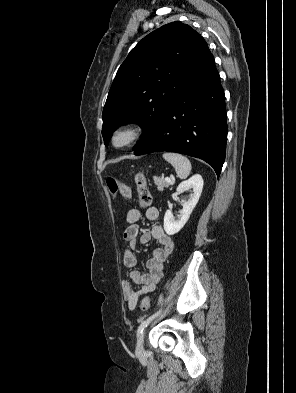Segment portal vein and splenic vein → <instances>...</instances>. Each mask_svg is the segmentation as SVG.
Returning a JSON list of instances; mask_svg holds the SVG:
<instances>
[{"instance_id": "obj_1", "label": "portal vein and splenic vein", "mask_w": 296, "mask_h": 393, "mask_svg": "<svg viewBox=\"0 0 296 393\" xmlns=\"http://www.w3.org/2000/svg\"><path fill=\"white\" fill-rule=\"evenodd\" d=\"M165 180L168 181V182H171V181H172V179H171V178H168V177H167Z\"/></svg>"}]
</instances>
